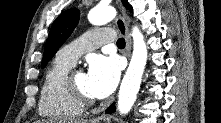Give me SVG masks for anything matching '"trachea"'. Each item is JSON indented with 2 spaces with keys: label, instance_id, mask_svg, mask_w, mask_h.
I'll return each instance as SVG.
<instances>
[{
  "label": "trachea",
  "instance_id": "trachea-1",
  "mask_svg": "<svg viewBox=\"0 0 221 123\" xmlns=\"http://www.w3.org/2000/svg\"><path fill=\"white\" fill-rule=\"evenodd\" d=\"M117 46L118 47H125V39L124 38H119L117 40Z\"/></svg>",
  "mask_w": 221,
  "mask_h": 123
}]
</instances>
